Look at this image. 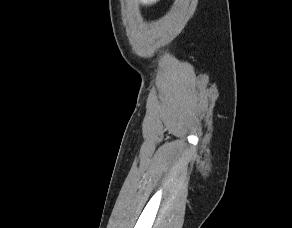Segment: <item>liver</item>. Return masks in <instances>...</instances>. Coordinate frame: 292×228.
Returning <instances> with one entry per match:
<instances>
[{
  "label": "liver",
  "instance_id": "6515ba94",
  "mask_svg": "<svg viewBox=\"0 0 292 228\" xmlns=\"http://www.w3.org/2000/svg\"><path fill=\"white\" fill-rule=\"evenodd\" d=\"M159 0H140V2L143 4V5H151V4H154L156 2H158Z\"/></svg>",
  "mask_w": 292,
  "mask_h": 228
}]
</instances>
